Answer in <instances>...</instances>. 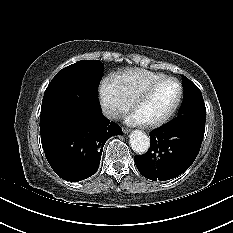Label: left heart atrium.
<instances>
[{
	"label": "left heart atrium",
	"mask_w": 233,
	"mask_h": 233,
	"mask_svg": "<svg viewBox=\"0 0 233 233\" xmlns=\"http://www.w3.org/2000/svg\"><path fill=\"white\" fill-rule=\"evenodd\" d=\"M128 124L131 125H140L144 124L146 121L142 118V116L137 111H132L125 119Z\"/></svg>",
	"instance_id": "1"
}]
</instances>
